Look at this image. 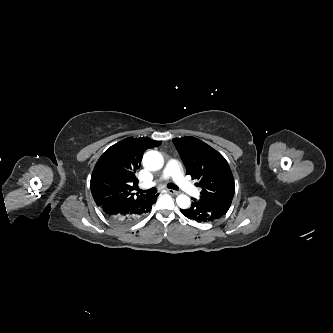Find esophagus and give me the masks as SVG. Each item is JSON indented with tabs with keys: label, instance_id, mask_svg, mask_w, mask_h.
<instances>
[{
	"label": "esophagus",
	"instance_id": "1",
	"mask_svg": "<svg viewBox=\"0 0 333 333\" xmlns=\"http://www.w3.org/2000/svg\"><path fill=\"white\" fill-rule=\"evenodd\" d=\"M167 192L170 193V194H172V195H178V194H180L179 191H175V190H172V189H168Z\"/></svg>",
	"mask_w": 333,
	"mask_h": 333
}]
</instances>
